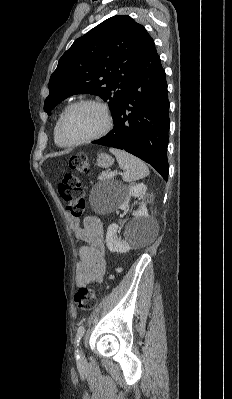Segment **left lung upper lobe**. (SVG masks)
<instances>
[{
	"mask_svg": "<svg viewBox=\"0 0 232 399\" xmlns=\"http://www.w3.org/2000/svg\"><path fill=\"white\" fill-rule=\"evenodd\" d=\"M146 29L127 15L113 16L75 40L50 77L44 111L74 94L106 101L114 118L148 44Z\"/></svg>",
	"mask_w": 232,
	"mask_h": 399,
	"instance_id": "1",
	"label": "left lung upper lobe"
}]
</instances>
